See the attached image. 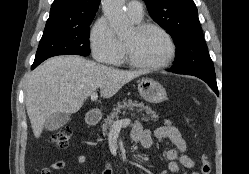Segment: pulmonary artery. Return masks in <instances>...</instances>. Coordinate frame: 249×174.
I'll list each match as a JSON object with an SVG mask.
<instances>
[{
  "label": "pulmonary artery",
  "mask_w": 249,
  "mask_h": 174,
  "mask_svg": "<svg viewBox=\"0 0 249 174\" xmlns=\"http://www.w3.org/2000/svg\"><path fill=\"white\" fill-rule=\"evenodd\" d=\"M127 14L134 21H140L143 17V6L140 1L132 0L126 6Z\"/></svg>",
  "instance_id": "1"
}]
</instances>
